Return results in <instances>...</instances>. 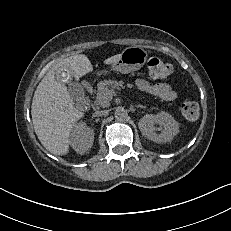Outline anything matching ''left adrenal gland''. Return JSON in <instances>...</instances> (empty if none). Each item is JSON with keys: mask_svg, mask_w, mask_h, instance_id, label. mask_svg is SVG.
I'll list each match as a JSON object with an SVG mask.
<instances>
[{"mask_svg": "<svg viewBox=\"0 0 231 231\" xmlns=\"http://www.w3.org/2000/svg\"><path fill=\"white\" fill-rule=\"evenodd\" d=\"M136 107H137V108H146V107L143 106V105H137Z\"/></svg>", "mask_w": 231, "mask_h": 231, "instance_id": "1", "label": "left adrenal gland"}]
</instances>
